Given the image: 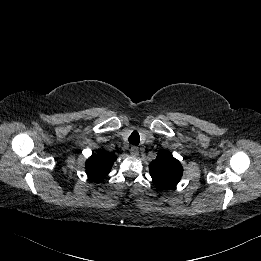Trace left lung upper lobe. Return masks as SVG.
<instances>
[{"label":"left lung upper lobe","instance_id":"1","mask_svg":"<svg viewBox=\"0 0 261 261\" xmlns=\"http://www.w3.org/2000/svg\"><path fill=\"white\" fill-rule=\"evenodd\" d=\"M150 175L159 189L175 186L181 179L183 169L181 163L169 151L160 152L149 164Z\"/></svg>","mask_w":261,"mask_h":261}]
</instances>
